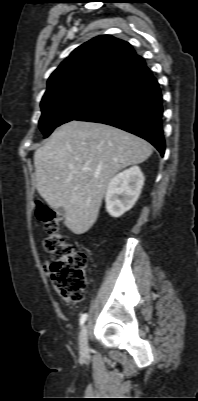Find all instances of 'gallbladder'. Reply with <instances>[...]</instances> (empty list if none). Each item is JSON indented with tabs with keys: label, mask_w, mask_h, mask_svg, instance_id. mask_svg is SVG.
<instances>
[{
	"label": "gallbladder",
	"mask_w": 198,
	"mask_h": 401,
	"mask_svg": "<svg viewBox=\"0 0 198 401\" xmlns=\"http://www.w3.org/2000/svg\"><path fill=\"white\" fill-rule=\"evenodd\" d=\"M56 212L58 215H61V216H63L65 214V210L62 207L57 208Z\"/></svg>",
	"instance_id": "bac80fb5"
}]
</instances>
